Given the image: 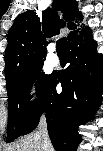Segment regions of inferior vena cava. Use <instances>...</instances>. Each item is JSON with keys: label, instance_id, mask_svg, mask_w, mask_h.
<instances>
[{"label": "inferior vena cava", "instance_id": "602c4592", "mask_svg": "<svg viewBox=\"0 0 103 151\" xmlns=\"http://www.w3.org/2000/svg\"><path fill=\"white\" fill-rule=\"evenodd\" d=\"M38 134H40L42 136L43 146H44V148H46L47 145L50 143V140H49L48 133H47V127H46L45 119H42L41 122H40V127H39V130H38Z\"/></svg>", "mask_w": 103, "mask_h": 151}]
</instances>
